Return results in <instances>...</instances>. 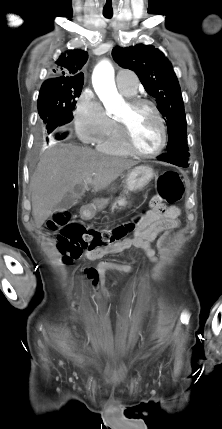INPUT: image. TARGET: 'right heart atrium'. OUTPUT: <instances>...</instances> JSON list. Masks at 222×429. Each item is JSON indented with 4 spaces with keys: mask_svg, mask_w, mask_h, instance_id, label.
I'll list each match as a JSON object with an SVG mask.
<instances>
[{
    "mask_svg": "<svg viewBox=\"0 0 222 429\" xmlns=\"http://www.w3.org/2000/svg\"><path fill=\"white\" fill-rule=\"evenodd\" d=\"M73 116L76 132L85 143L98 142L106 135L112 122L90 89H85L78 97Z\"/></svg>",
    "mask_w": 222,
    "mask_h": 429,
    "instance_id": "1",
    "label": "right heart atrium"
}]
</instances>
